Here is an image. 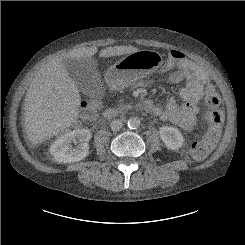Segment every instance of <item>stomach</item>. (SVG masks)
Returning a JSON list of instances; mask_svg holds the SVG:
<instances>
[{"mask_svg":"<svg viewBox=\"0 0 245 245\" xmlns=\"http://www.w3.org/2000/svg\"><path fill=\"white\" fill-rule=\"evenodd\" d=\"M163 62L162 55L157 51L139 50L112 65L106 73V81L115 89H123L158 71Z\"/></svg>","mask_w":245,"mask_h":245,"instance_id":"0dacf381","label":"stomach"}]
</instances>
